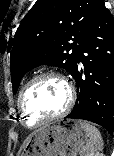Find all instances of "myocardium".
Wrapping results in <instances>:
<instances>
[{
  "label": "myocardium",
  "instance_id": "myocardium-1",
  "mask_svg": "<svg viewBox=\"0 0 114 156\" xmlns=\"http://www.w3.org/2000/svg\"><path fill=\"white\" fill-rule=\"evenodd\" d=\"M43 78H54V79H57L58 81H60L66 89L67 100H66V103H65V105L61 111H59L58 113H56L50 117L41 119L38 122H36L35 124L31 125L25 119L24 110H23L22 104H21L22 97H23L24 93L27 91V89L32 84H34L36 81L43 79ZM74 101H75V91H74L72 84L62 74H60L58 72H54V71H46V72H41V73L35 75L22 87V89L20 90V92L18 94L17 107H18V110H19L20 115L22 117L21 118L22 123L28 128H36V127H38L44 123L54 121V120H57V119L65 116L70 111V109L72 108Z\"/></svg>",
  "mask_w": 114,
  "mask_h": 156
}]
</instances>
